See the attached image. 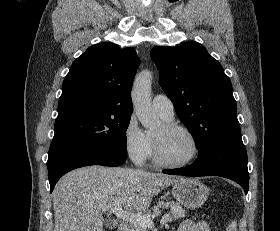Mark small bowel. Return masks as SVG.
<instances>
[{
	"instance_id": "small-bowel-1",
	"label": "small bowel",
	"mask_w": 280,
	"mask_h": 231,
	"mask_svg": "<svg viewBox=\"0 0 280 231\" xmlns=\"http://www.w3.org/2000/svg\"><path fill=\"white\" fill-rule=\"evenodd\" d=\"M178 231H209V227L205 221L186 219L180 224Z\"/></svg>"
}]
</instances>
